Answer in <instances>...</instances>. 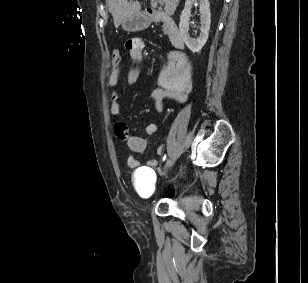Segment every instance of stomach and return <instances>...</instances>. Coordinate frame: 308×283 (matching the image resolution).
<instances>
[{
    "mask_svg": "<svg viewBox=\"0 0 308 283\" xmlns=\"http://www.w3.org/2000/svg\"><path fill=\"white\" fill-rule=\"evenodd\" d=\"M150 24V20L144 13H137L130 17L125 18L121 25L125 31L136 32L146 29Z\"/></svg>",
    "mask_w": 308,
    "mask_h": 283,
    "instance_id": "1",
    "label": "stomach"
}]
</instances>
